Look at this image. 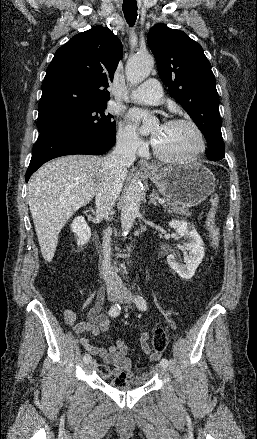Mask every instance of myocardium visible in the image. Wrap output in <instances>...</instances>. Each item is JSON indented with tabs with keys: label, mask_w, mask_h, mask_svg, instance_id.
<instances>
[{
	"label": "myocardium",
	"mask_w": 257,
	"mask_h": 439,
	"mask_svg": "<svg viewBox=\"0 0 257 439\" xmlns=\"http://www.w3.org/2000/svg\"><path fill=\"white\" fill-rule=\"evenodd\" d=\"M181 124L188 125L192 127V129L195 131L198 138L197 149L188 155L171 156L162 152L156 145L155 140H153L152 141L153 152L158 159L169 163H189L196 160L204 153L206 149V139L203 131L194 121L186 118H175V119H170L164 123V125H181Z\"/></svg>",
	"instance_id": "f54148a6"
}]
</instances>
